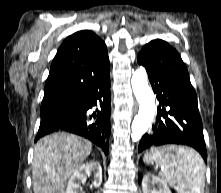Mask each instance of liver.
Returning a JSON list of instances; mask_svg holds the SVG:
<instances>
[{"mask_svg": "<svg viewBox=\"0 0 221 193\" xmlns=\"http://www.w3.org/2000/svg\"><path fill=\"white\" fill-rule=\"evenodd\" d=\"M92 151V143L68 133H54L35 145L32 162L34 193H64L67 180Z\"/></svg>", "mask_w": 221, "mask_h": 193, "instance_id": "1", "label": "liver"}]
</instances>
